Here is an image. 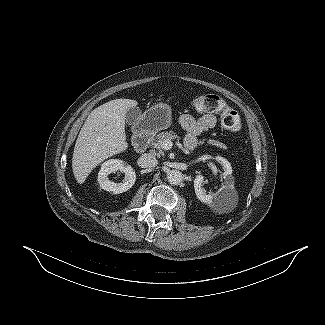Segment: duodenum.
Segmentation results:
<instances>
[{
  "mask_svg": "<svg viewBox=\"0 0 325 325\" xmlns=\"http://www.w3.org/2000/svg\"><path fill=\"white\" fill-rule=\"evenodd\" d=\"M152 138V134L150 132H141L134 138V148L138 152H143L146 150L150 140Z\"/></svg>",
  "mask_w": 325,
  "mask_h": 325,
  "instance_id": "410a0bca",
  "label": "duodenum"
}]
</instances>
